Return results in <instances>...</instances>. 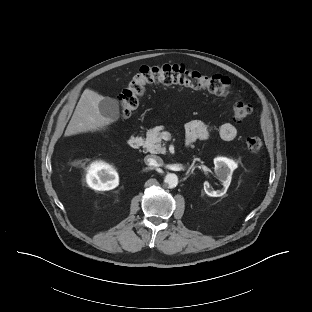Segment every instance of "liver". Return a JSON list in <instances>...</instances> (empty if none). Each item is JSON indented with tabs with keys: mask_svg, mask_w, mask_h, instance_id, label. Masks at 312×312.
Wrapping results in <instances>:
<instances>
[{
	"mask_svg": "<svg viewBox=\"0 0 312 312\" xmlns=\"http://www.w3.org/2000/svg\"><path fill=\"white\" fill-rule=\"evenodd\" d=\"M102 95L85 89L66 128L65 136L104 130L111 120L101 115L98 105Z\"/></svg>",
	"mask_w": 312,
	"mask_h": 312,
	"instance_id": "obj_1",
	"label": "liver"
}]
</instances>
